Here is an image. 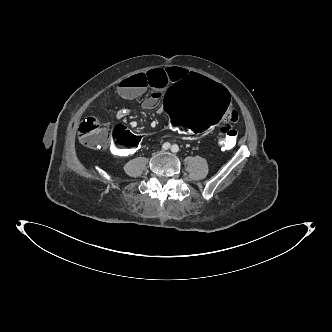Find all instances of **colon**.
<instances>
[{
	"instance_id": "1",
	"label": "colon",
	"mask_w": 332,
	"mask_h": 332,
	"mask_svg": "<svg viewBox=\"0 0 332 332\" xmlns=\"http://www.w3.org/2000/svg\"><path fill=\"white\" fill-rule=\"evenodd\" d=\"M164 108L171 125L186 134L209 132L220 127L219 143L231 149L238 133L233 128L239 111L231 91L201 74H189L172 85L165 94ZM80 142L88 147H101L109 155L131 157L141 146L139 135L121 123L106 130L94 117L79 125Z\"/></svg>"
}]
</instances>
